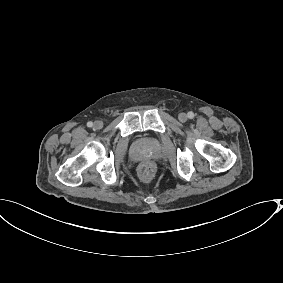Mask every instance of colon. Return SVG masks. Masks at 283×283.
Returning a JSON list of instances; mask_svg holds the SVG:
<instances>
[{"label": "colon", "mask_w": 283, "mask_h": 283, "mask_svg": "<svg viewBox=\"0 0 283 283\" xmlns=\"http://www.w3.org/2000/svg\"><path fill=\"white\" fill-rule=\"evenodd\" d=\"M154 173V167L150 163H144L139 168V175L143 181H149Z\"/></svg>", "instance_id": "colon-1"}]
</instances>
